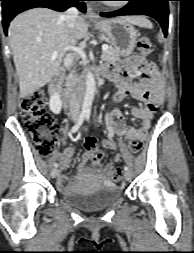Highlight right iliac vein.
I'll return each instance as SVG.
<instances>
[{"mask_svg":"<svg viewBox=\"0 0 194 253\" xmlns=\"http://www.w3.org/2000/svg\"><path fill=\"white\" fill-rule=\"evenodd\" d=\"M57 175H58V170H57L56 168H55V169H52V171H51V176H52V178H56Z\"/></svg>","mask_w":194,"mask_h":253,"instance_id":"63e3f726","label":"right iliac vein"}]
</instances>
